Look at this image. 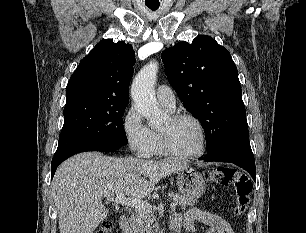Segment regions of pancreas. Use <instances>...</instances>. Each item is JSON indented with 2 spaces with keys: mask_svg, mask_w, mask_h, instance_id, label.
Segmentation results:
<instances>
[{
  "mask_svg": "<svg viewBox=\"0 0 306 233\" xmlns=\"http://www.w3.org/2000/svg\"><path fill=\"white\" fill-rule=\"evenodd\" d=\"M168 195L177 202L182 209L196 202V199L184 195L176 193H169ZM130 224L133 233H156L158 231L156 219L152 211L135 210V213L131 217Z\"/></svg>",
  "mask_w": 306,
  "mask_h": 233,
  "instance_id": "1",
  "label": "pancreas"
}]
</instances>
